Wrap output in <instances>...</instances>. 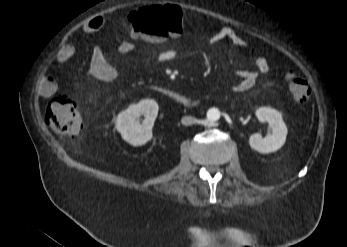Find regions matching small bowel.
<instances>
[{
  "label": "small bowel",
  "instance_id": "c3829d8e",
  "mask_svg": "<svg viewBox=\"0 0 347 247\" xmlns=\"http://www.w3.org/2000/svg\"><path fill=\"white\" fill-rule=\"evenodd\" d=\"M105 25V19L96 17L86 21L81 30L87 34H93L101 30ZM179 34H173L171 37H179ZM222 41H229L237 49H245L247 41L245 38L231 27H221L214 34L208 37L207 43L209 45L217 44ZM118 50L122 54H129L133 52L134 45L129 40H121L118 45ZM74 45L67 41L57 52L54 63L61 65L67 62L74 54ZM176 56V51L172 48H167L158 53V60L162 63L171 62ZM256 71H245V74L239 75L238 80L232 85L231 89L235 92H244L255 86L258 72L266 73L269 70V63L263 56H258L254 61ZM91 75L104 82L116 80L119 75V69L109 63L104 55L102 48L97 47L92 50L90 61ZM38 89L42 96L50 97L57 91V83L54 78L48 73H42L38 78Z\"/></svg>",
  "mask_w": 347,
  "mask_h": 247
}]
</instances>
